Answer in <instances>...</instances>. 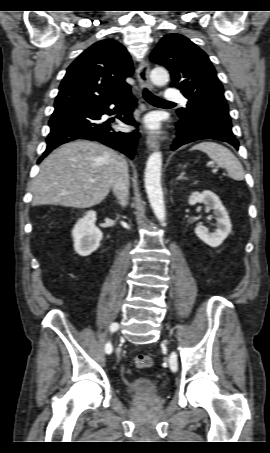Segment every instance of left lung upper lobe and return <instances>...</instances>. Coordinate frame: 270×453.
Wrapping results in <instances>:
<instances>
[{"label": "left lung upper lobe", "mask_w": 270, "mask_h": 453, "mask_svg": "<svg viewBox=\"0 0 270 453\" xmlns=\"http://www.w3.org/2000/svg\"><path fill=\"white\" fill-rule=\"evenodd\" d=\"M150 60L171 72L172 86L188 99L187 107L177 110L180 118L199 111L232 130L222 84L208 56L198 46L183 35L168 34L157 44Z\"/></svg>", "instance_id": "left-lung-upper-lobe-1"}]
</instances>
